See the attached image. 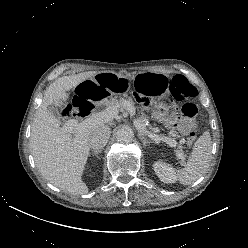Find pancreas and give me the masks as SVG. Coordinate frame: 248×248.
Listing matches in <instances>:
<instances>
[{
  "label": "pancreas",
  "mask_w": 248,
  "mask_h": 248,
  "mask_svg": "<svg viewBox=\"0 0 248 248\" xmlns=\"http://www.w3.org/2000/svg\"><path fill=\"white\" fill-rule=\"evenodd\" d=\"M127 104H129L130 106H132L135 109L134 102H133V100H132L131 97H128L126 99L120 98L119 100H114V101H112L110 103V106H115L118 109H125V110H127ZM139 120L144 125L145 122L148 120V117L145 116V115H142L141 117H139ZM169 139L173 141V145H170V146L176 147V150H175L176 155L178 157H179V154H182L183 155L182 146L181 145H178V143L175 141V139H172V138H169Z\"/></svg>",
  "instance_id": "1"
}]
</instances>
